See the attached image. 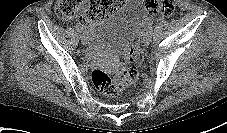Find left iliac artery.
<instances>
[{
    "instance_id": "obj_1",
    "label": "left iliac artery",
    "mask_w": 227,
    "mask_h": 133,
    "mask_svg": "<svg viewBox=\"0 0 227 133\" xmlns=\"http://www.w3.org/2000/svg\"><path fill=\"white\" fill-rule=\"evenodd\" d=\"M145 31H147L151 35L153 32V25L151 23L148 24Z\"/></svg>"
}]
</instances>
